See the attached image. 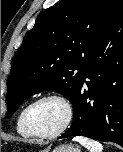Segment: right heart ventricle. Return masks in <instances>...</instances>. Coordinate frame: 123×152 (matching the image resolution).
I'll return each instance as SVG.
<instances>
[{"mask_svg": "<svg viewBox=\"0 0 123 152\" xmlns=\"http://www.w3.org/2000/svg\"><path fill=\"white\" fill-rule=\"evenodd\" d=\"M26 107L27 106H24L18 113V116L16 119V131L23 138H32V136L28 133L23 123V116H24Z\"/></svg>", "mask_w": 123, "mask_h": 152, "instance_id": "1", "label": "right heart ventricle"}]
</instances>
